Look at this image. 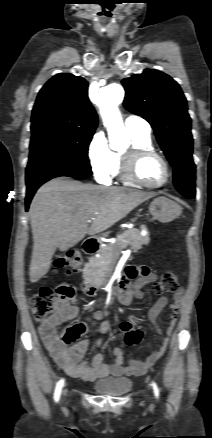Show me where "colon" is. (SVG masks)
<instances>
[{
    "instance_id": "5ec220e1",
    "label": "colon",
    "mask_w": 212,
    "mask_h": 438,
    "mask_svg": "<svg viewBox=\"0 0 212 438\" xmlns=\"http://www.w3.org/2000/svg\"><path fill=\"white\" fill-rule=\"evenodd\" d=\"M81 255L78 251L69 250L60 255L56 261L57 268L67 267L76 271L81 264ZM179 281L177 276L171 272H165L155 285L157 294L173 293L178 291ZM75 297L74 289L69 285H61L57 289V296L49 287H41L32 297L31 307L35 319L43 324L52 321L58 311L61 302H71ZM85 331L83 324H75L67 327L60 333V338L66 343L77 340Z\"/></svg>"
}]
</instances>
